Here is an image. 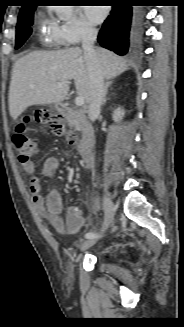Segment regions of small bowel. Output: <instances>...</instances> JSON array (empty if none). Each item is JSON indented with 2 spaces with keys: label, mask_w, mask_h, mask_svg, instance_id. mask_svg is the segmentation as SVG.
Here are the masks:
<instances>
[{
  "label": "small bowel",
  "mask_w": 184,
  "mask_h": 327,
  "mask_svg": "<svg viewBox=\"0 0 184 327\" xmlns=\"http://www.w3.org/2000/svg\"><path fill=\"white\" fill-rule=\"evenodd\" d=\"M24 171L30 175L29 188L32 193L34 206L42 216L49 221L51 226L60 233H78L85 224L82 210L77 206L69 207L66 216H62L63 199L57 190H53L45 198L42 194V184L34 175L35 165L33 162L23 164ZM59 169V161L50 157L43 164L42 173L45 176H53Z\"/></svg>",
  "instance_id": "1"
}]
</instances>
